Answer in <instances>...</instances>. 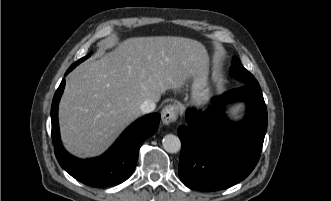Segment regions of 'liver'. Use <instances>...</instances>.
Masks as SVG:
<instances>
[{"instance_id": "obj_1", "label": "liver", "mask_w": 331, "mask_h": 201, "mask_svg": "<svg viewBox=\"0 0 331 201\" xmlns=\"http://www.w3.org/2000/svg\"><path fill=\"white\" fill-rule=\"evenodd\" d=\"M207 63L200 42L173 36L129 38L101 58L82 63L68 76L59 103L65 148L81 158L101 154L142 115L146 99L158 102Z\"/></svg>"}]
</instances>
